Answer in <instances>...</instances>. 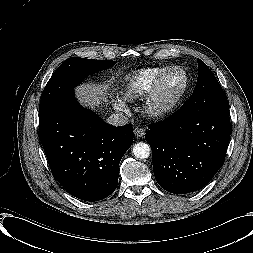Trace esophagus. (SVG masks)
Listing matches in <instances>:
<instances>
[{
    "label": "esophagus",
    "instance_id": "1",
    "mask_svg": "<svg viewBox=\"0 0 253 253\" xmlns=\"http://www.w3.org/2000/svg\"><path fill=\"white\" fill-rule=\"evenodd\" d=\"M133 132H134V135L137 137H143L145 135V130L140 127H135Z\"/></svg>",
    "mask_w": 253,
    "mask_h": 253
}]
</instances>
